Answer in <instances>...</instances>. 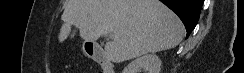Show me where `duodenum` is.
Segmentation results:
<instances>
[{"label":"duodenum","mask_w":244,"mask_h":73,"mask_svg":"<svg viewBox=\"0 0 244 73\" xmlns=\"http://www.w3.org/2000/svg\"><path fill=\"white\" fill-rule=\"evenodd\" d=\"M85 50L87 54L101 66V73H114L112 62L100 46L87 43Z\"/></svg>","instance_id":"obj_1"}]
</instances>
